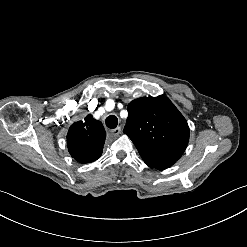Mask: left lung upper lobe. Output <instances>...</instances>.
I'll return each mask as SVG.
<instances>
[{"mask_svg": "<svg viewBox=\"0 0 247 247\" xmlns=\"http://www.w3.org/2000/svg\"><path fill=\"white\" fill-rule=\"evenodd\" d=\"M123 132L145 163L158 170L172 166L189 141L187 121L164 95L131 101Z\"/></svg>", "mask_w": 247, "mask_h": 247, "instance_id": "obj_1", "label": "left lung upper lobe"}]
</instances>
